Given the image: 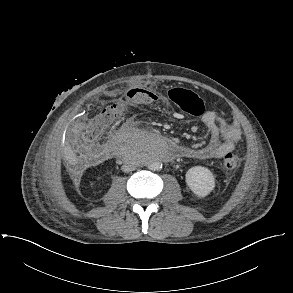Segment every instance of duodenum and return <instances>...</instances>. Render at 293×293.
<instances>
[{"label": "duodenum", "mask_w": 293, "mask_h": 293, "mask_svg": "<svg viewBox=\"0 0 293 293\" xmlns=\"http://www.w3.org/2000/svg\"><path fill=\"white\" fill-rule=\"evenodd\" d=\"M178 155H180V149L178 150V153L173 156V159L177 158Z\"/></svg>", "instance_id": "410a0bca"}]
</instances>
